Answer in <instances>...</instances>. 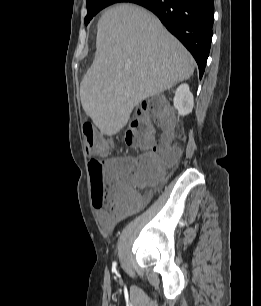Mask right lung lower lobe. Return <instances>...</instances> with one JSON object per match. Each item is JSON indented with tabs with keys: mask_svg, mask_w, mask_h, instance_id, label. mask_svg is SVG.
Returning a JSON list of instances; mask_svg holds the SVG:
<instances>
[{
	"mask_svg": "<svg viewBox=\"0 0 261 306\" xmlns=\"http://www.w3.org/2000/svg\"><path fill=\"white\" fill-rule=\"evenodd\" d=\"M158 16L195 58L200 78L209 56L214 19L213 0H134Z\"/></svg>",
	"mask_w": 261,
	"mask_h": 306,
	"instance_id": "1",
	"label": "right lung lower lobe"
}]
</instances>
